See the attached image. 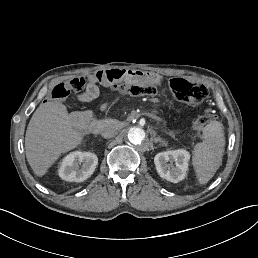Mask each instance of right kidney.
Returning <instances> with one entry per match:
<instances>
[{"label": "right kidney", "instance_id": "right-kidney-1", "mask_svg": "<svg viewBox=\"0 0 258 258\" xmlns=\"http://www.w3.org/2000/svg\"><path fill=\"white\" fill-rule=\"evenodd\" d=\"M81 163L82 165L80 166ZM97 164L98 158L96 154L75 151L62 160L58 173L63 180L82 182L93 174Z\"/></svg>", "mask_w": 258, "mask_h": 258}]
</instances>
